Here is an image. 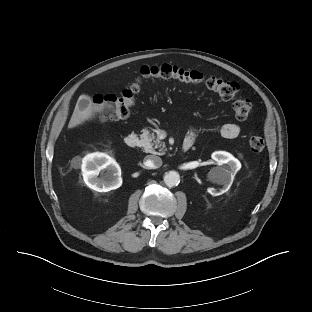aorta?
Instances as JSON below:
<instances>
[{
	"label": "aorta",
	"instance_id": "obj_1",
	"mask_svg": "<svg viewBox=\"0 0 312 312\" xmlns=\"http://www.w3.org/2000/svg\"><path fill=\"white\" fill-rule=\"evenodd\" d=\"M164 182L168 187L177 186L180 183V176L176 171L166 172L164 175Z\"/></svg>",
	"mask_w": 312,
	"mask_h": 312
}]
</instances>
